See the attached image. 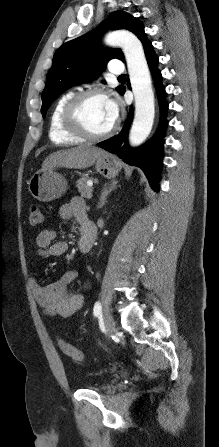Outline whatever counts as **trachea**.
<instances>
[{
    "label": "trachea",
    "mask_w": 219,
    "mask_h": 447,
    "mask_svg": "<svg viewBox=\"0 0 219 447\" xmlns=\"http://www.w3.org/2000/svg\"><path fill=\"white\" fill-rule=\"evenodd\" d=\"M118 78H119V79H121V78H126V76H125V74H123V75H120Z\"/></svg>",
    "instance_id": "obj_1"
}]
</instances>
